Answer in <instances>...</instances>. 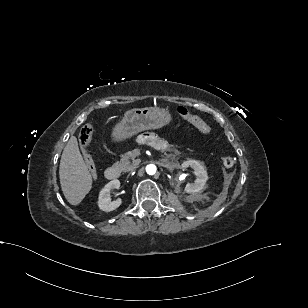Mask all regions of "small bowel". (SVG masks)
<instances>
[{
	"label": "small bowel",
	"mask_w": 308,
	"mask_h": 308,
	"mask_svg": "<svg viewBox=\"0 0 308 308\" xmlns=\"http://www.w3.org/2000/svg\"><path fill=\"white\" fill-rule=\"evenodd\" d=\"M138 141L142 144L150 145L156 148H158V144H163V147L165 146V142L152 132H145L140 134Z\"/></svg>",
	"instance_id": "1"
}]
</instances>
